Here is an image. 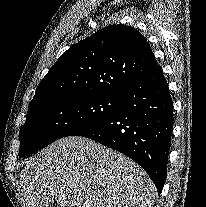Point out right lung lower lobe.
Listing matches in <instances>:
<instances>
[{
  "label": "right lung lower lobe",
  "instance_id": "1",
  "mask_svg": "<svg viewBox=\"0 0 206 207\" xmlns=\"http://www.w3.org/2000/svg\"><path fill=\"white\" fill-rule=\"evenodd\" d=\"M122 95V105L112 116L77 136L90 138L137 162L160 194L173 131V102L161 66Z\"/></svg>",
  "mask_w": 206,
  "mask_h": 207
}]
</instances>
